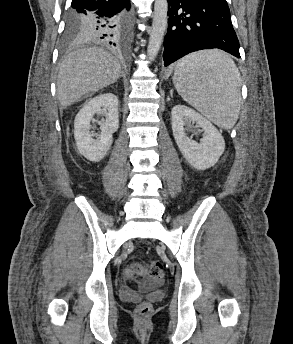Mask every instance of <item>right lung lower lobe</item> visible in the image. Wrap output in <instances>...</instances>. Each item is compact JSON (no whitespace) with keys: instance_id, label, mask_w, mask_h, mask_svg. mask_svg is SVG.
<instances>
[{"instance_id":"right-lung-lower-lobe-1","label":"right lung lower lobe","mask_w":293,"mask_h":344,"mask_svg":"<svg viewBox=\"0 0 293 344\" xmlns=\"http://www.w3.org/2000/svg\"><path fill=\"white\" fill-rule=\"evenodd\" d=\"M72 11L86 16L83 41L123 44L131 21L130 0H72Z\"/></svg>"}]
</instances>
